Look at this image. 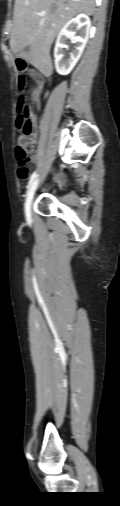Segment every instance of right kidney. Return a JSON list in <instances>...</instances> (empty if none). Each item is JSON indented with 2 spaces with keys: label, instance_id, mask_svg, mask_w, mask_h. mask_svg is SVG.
I'll use <instances>...</instances> for the list:
<instances>
[{
  "label": "right kidney",
  "instance_id": "obj_1",
  "mask_svg": "<svg viewBox=\"0 0 120 506\" xmlns=\"http://www.w3.org/2000/svg\"><path fill=\"white\" fill-rule=\"evenodd\" d=\"M91 29L90 18L86 14H79L69 20L57 36L54 49L55 68L61 75L69 74L80 59L85 45L89 39ZM76 31L79 35L76 36ZM75 44L69 58H64V48H68L67 41Z\"/></svg>",
  "mask_w": 120,
  "mask_h": 506
}]
</instances>
